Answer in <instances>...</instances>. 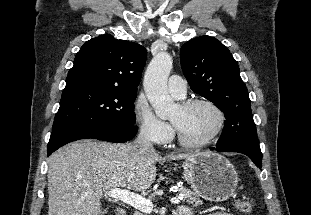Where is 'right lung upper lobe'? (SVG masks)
Wrapping results in <instances>:
<instances>
[{
  "mask_svg": "<svg viewBox=\"0 0 311 215\" xmlns=\"http://www.w3.org/2000/svg\"><path fill=\"white\" fill-rule=\"evenodd\" d=\"M146 59L143 46L109 34L100 35L81 47L66 86L90 84L137 91Z\"/></svg>",
  "mask_w": 311,
  "mask_h": 215,
  "instance_id": "cb5924a9",
  "label": "right lung upper lobe"
}]
</instances>
